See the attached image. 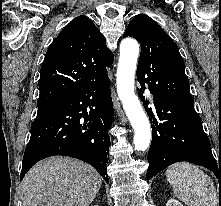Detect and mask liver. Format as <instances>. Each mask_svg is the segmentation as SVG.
Returning <instances> with one entry per match:
<instances>
[{
  "mask_svg": "<svg viewBox=\"0 0 221 206\" xmlns=\"http://www.w3.org/2000/svg\"><path fill=\"white\" fill-rule=\"evenodd\" d=\"M101 183L92 166L68 157H50L25 175L23 206H89Z\"/></svg>",
  "mask_w": 221,
  "mask_h": 206,
  "instance_id": "obj_1",
  "label": "liver"
}]
</instances>
